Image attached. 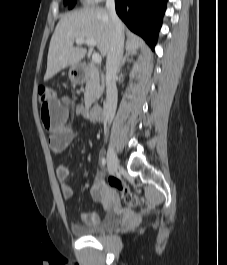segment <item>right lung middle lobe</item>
Wrapping results in <instances>:
<instances>
[{
    "mask_svg": "<svg viewBox=\"0 0 227 265\" xmlns=\"http://www.w3.org/2000/svg\"><path fill=\"white\" fill-rule=\"evenodd\" d=\"M64 2L65 4L69 3L70 4L69 8H72L75 5L76 0H64Z\"/></svg>",
    "mask_w": 227,
    "mask_h": 265,
    "instance_id": "obj_1",
    "label": "right lung middle lobe"
}]
</instances>
